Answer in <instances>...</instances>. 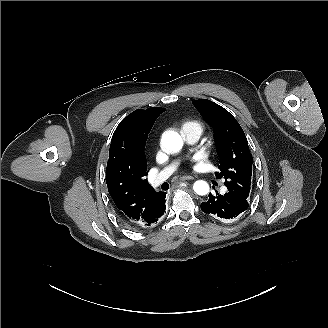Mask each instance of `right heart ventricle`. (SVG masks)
Listing matches in <instances>:
<instances>
[{"instance_id":"e07e8e85","label":"right heart ventricle","mask_w":328,"mask_h":328,"mask_svg":"<svg viewBox=\"0 0 328 328\" xmlns=\"http://www.w3.org/2000/svg\"><path fill=\"white\" fill-rule=\"evenodd\" d=\"M205 129V123L199 119L188 120L184 122L180 127V131L183 135L186 131L196 132L199 134V138L204 134Z\"/></svg>"}]
</instances>
